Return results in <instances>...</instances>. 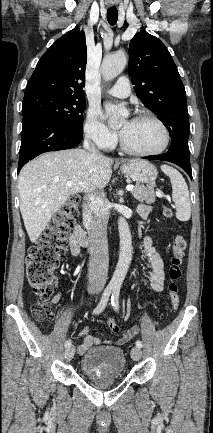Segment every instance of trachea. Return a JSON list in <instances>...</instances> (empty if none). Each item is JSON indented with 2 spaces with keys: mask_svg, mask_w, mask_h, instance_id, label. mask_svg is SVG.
I'll return each instance as SVG.
<instances>
[{
  "mask_svg": "<svg viewBox=\"0 0 213 433\" xmlns=\"http://www.w3.org/2000/svg\"><path fill=\"white\" fill-rule=\"evenodd\" d=\"M118 19V11L116 7L108 8L107 21L110 25H115Z\"/></svg>",
  "mask_w": 213,
  "mask_h": 433,
  "instance_id": "3493384b",
  "label": "trachea"
}]
</instances>
